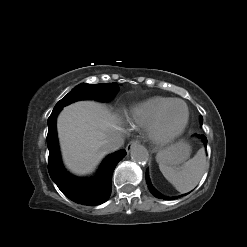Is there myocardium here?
Listing matches in <instances>:
<instances>
[{"label": "myocardium", "instance_id": "myocardium-1", "mask_svg": "<svg viewBox=\"0 0 247 247\" xmlns=\"http://www.w3.org/2000/svg\"><path fill=\"white\" fill-rule=\"evenodd\" d=\"M175 103H181L185 107V119L183 123L175 130L167 131L162 126V120L164 117V114L169 109V107ZM189 108L185 101L181 99H172L167 104H165L157 113L155 118L153 119L151 125L148 127V133L150 136V139L158 145H164L167 143H170L177 139L186 129L188 123H189Z\"/></svg>", "mask_w": 247, "mask_h": 247}]
</instances>
